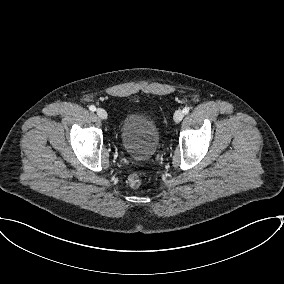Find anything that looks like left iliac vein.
Wrapping results in <instances>:
<instances>
[{
	"mask_svg": "<svg viewBox=\"0 0 284 284\" xmlns=\"http://www.w3.org/2000/svg\"><path fill=\"white\" fill-rule=\"evenodd\" d=\"M184 117V113L182 110H177L175 113H174V121L176 123L180 122Z\"/></svg>",
	"mask_w": 284,
	"mask_h": 284,
	"instance_id": "obj_1",
	"label": "left iliac vein"
}]
</instances>
